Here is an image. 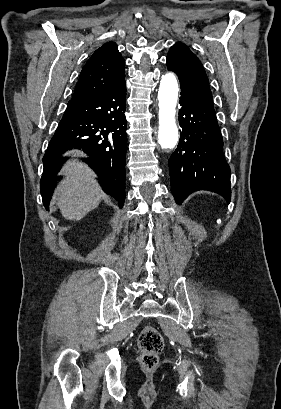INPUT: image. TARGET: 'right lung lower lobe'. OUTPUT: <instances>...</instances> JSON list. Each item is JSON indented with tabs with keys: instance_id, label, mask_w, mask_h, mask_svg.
Masks as SVG:
<instances>
[{
	"instance_id": "98d812e1",
	"label": "right lung lower lobe",
	"mask_w": 281,
	"mask_h": 409,
	"mask_svg": "<svg viewBox=\"0 0 281 409\" xmlns=\"http://www.w3.org/2000/svg\"><path fill=\"white\" fill-rule=\"evenodd\" d=\"M125 78L97 96L70 100L44 155L40 181L43 204L48 209L56 174L64 163L59 157L71 148H82L86 162L99 176L104 191L122 208L125 201L126 160Z\"/></svg>"
}]
</instances>
